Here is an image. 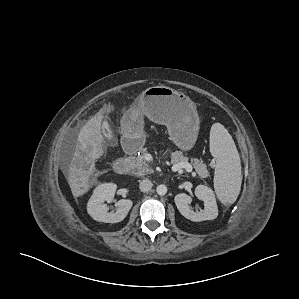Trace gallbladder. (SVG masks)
I'll return each instance as SVG.
<instances>
[{
  "label": "gallbladder",
  "instance_id": "obj_1",
  "mask_svg": "<svg viewBox=\"0 0 299 299\" xmlns=\"http://www.w3.org/2000/svg\"><path fill=\"white\" fill-rule=\"evenodd\" d=\"M103 134H104V138L106 139L107 145L110 146L116 145V141L114 140V136L111 131L110 124L108 122L104 123Z\"/></svg>",
  "mask_w": 299,
  "mask_h": 299
}]
</instances>
